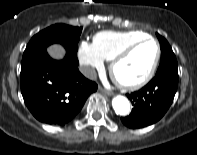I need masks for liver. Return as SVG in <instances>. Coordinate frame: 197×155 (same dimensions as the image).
Instances as JSON below:
<instances>
[{
  "label": "liver",
  "instance_id": "1",
  "mask_svg": "<svg viewBox=\"0 0 197 155\" xmlns=\"http://www.w3.org/2000/svg\"><path fill=\"white\" fill-rule=\"evenodd\" d=\"M48 53L56 58V59H60L64 56L65 54V50L63 49L62 46L58 45V44H53L48 48Z\"/></svg>",
  "mask_w": 197,
  "mask_h": 155
}]
</instances>
